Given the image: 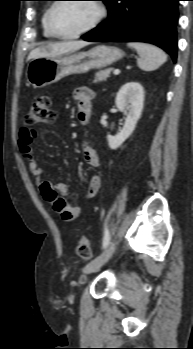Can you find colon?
Here are the masks:
<instances>
[{
	"label": "colon",
	"mask_w": 193,
	"mask_h": 349,
	"mask_svg": "<svg viewBox=\"0 0 193 349\" xmlns=\"http://www.w3.org/2000/svg\"><path fill=\"white\" fill-rule=\"evenodd\" d=\"M56 114L52 106V101L48 96L37 97L27 113L25 120L28 124H49L55 120ZM77 255L86 261L92 259V248L88 239L81 236L76 245Z\"/></svg>",
	"instance_id": "obj_1"
}]
</instances>
